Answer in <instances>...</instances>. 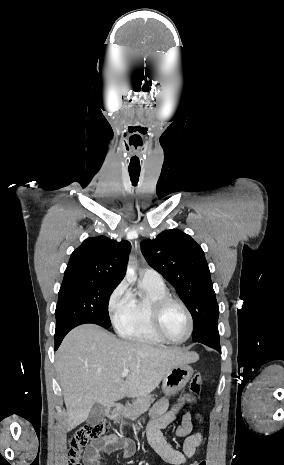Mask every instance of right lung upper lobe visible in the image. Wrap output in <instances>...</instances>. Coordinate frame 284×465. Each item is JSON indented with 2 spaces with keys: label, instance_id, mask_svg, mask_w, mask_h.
Returning <instances> with one entry per match:
<instances>
[{
  "label": "right lung upper lobe",
  "instance_id": "cb5924a9",
  "mask_svg": "<svg viewBox=\"0 0 284 465\" xmlns=\"http://www.w3.org/2000/svg\"><path fill=\"white\" fill-rule=\"evenodd\" d=\"M130 250L126 240L88 238L71 254L64 279L85 278L118 285L124 278Z\"/></svg>",
  "mask_w": 284,
  "mask_h": 465
}]
</instances>
